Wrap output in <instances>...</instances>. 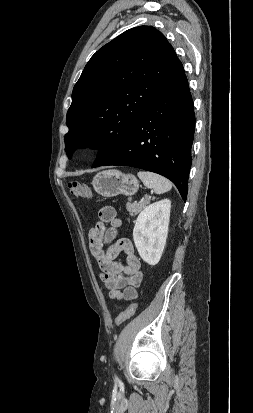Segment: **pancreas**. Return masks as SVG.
<instances>
[{
    "label": "pancreas",
    "mask_w": 253,
    "mask_h": 413,
    "mask_svg": "<svg viewBox=\"0 0 253 413\" xmlns=\"http://www.w3.org/2000/svg\"><path fill=\"white\" fill-rule=\"evenodd\" d=\"M150 199L145 198L140 202H127L126 209L131 216L137 215L147 204H149Z\"/></svg>",
    "instance_id": "obj_1"
}]
</instances>
